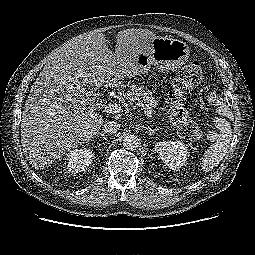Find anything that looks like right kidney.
I'll return each instance as SVG.
<instances>
[{
  "mask_svg": "<svg viewBox=\"0 0 255 255\" xmlns=\"http://www.w3.org/2000/svg\"><path fill=\"white\" fill-rule=\"evenodd\" d=\"M66 169L71 174L85 171L92 163L93 153L90 149L81 148L70 151L66 155Z\"/></svg>",
  "mask_w": 255,
  "mask_h": 255,
  "instance_id": "ca27d5eb",
  "label": "right kidney"
}]
</instances>
